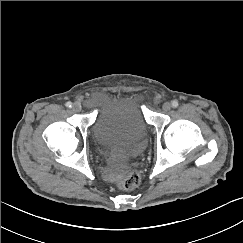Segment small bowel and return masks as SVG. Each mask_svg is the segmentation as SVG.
<instances>
[{"label": "small bowel", "mask_w": 243, "mask_h": 243, "mask_svg": "<svg viewBox=\"0 0 243 243\" xmlns=\"http://www.w3.org/2000/svg\"><path fill=\"white\" fill-rule=\"evenodd\" d=\"M95 99H96L97 101H102V100L105 99V96H104V95H99V96H96Z\"/></svg>", "instance_id": "small-bowel-1"}]
</instances>
